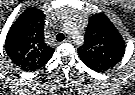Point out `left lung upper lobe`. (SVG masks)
<instances>
[{"instance_id": "1", "label": "left lung upper lobe", "mask_w": 135, "mask_h": 95, "mask_svg": "<svg viewBox=\"0 0 135 95\" xmlns=\"http://www.w3.org/2000/svg\"><path fill=\"white\" fill-rule=\"evenodd\" d=\"M78 53L89 68L104 72L121 61L125 53V41L104 14L93 15Z\"/></svg>"}]
</instances>
